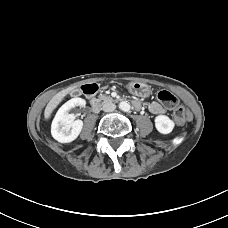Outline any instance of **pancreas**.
Here are the masks:
<instances>
[{
	"label": "pancreas",
	"mask_w": 228,
	"mask_h": 228,
	"mask_svg": "<svg viewBox=\"0 0 228 228\" xmlns=\"http://www.w3.org/2000/svg\"><path fill=\"white\" fill-rule=\"evenodd\" d=\"M99 101H103V103H107V102H112L113 99L110 96L100 95Z\"/></svg>",
	"instance_id": "obj_1"
}]
</instances>
